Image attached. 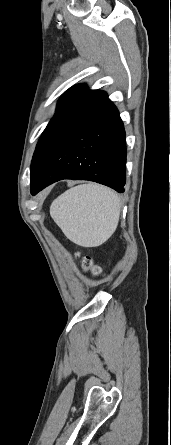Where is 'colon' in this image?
I'll use <instances>...</instances> for the list:
<instances>
[{"label":"colon","mask_w":171,"mask_h":445,"mask_svg":"<svg viewBox=\"0 0 171 445\" xmlns=\"http://www.w3.org/2000/svg\"><path fill=\"white\" fill-rule=\"evenodd\" d=\"M82 265L85 269L90 270L93 275L101 276L103 274L102 269L94 262L93 258L89 255L81 258Z\"/></svg>","instance_id":"obj_1"}]
</instances>
